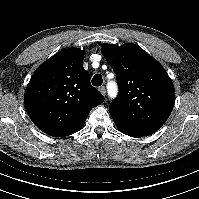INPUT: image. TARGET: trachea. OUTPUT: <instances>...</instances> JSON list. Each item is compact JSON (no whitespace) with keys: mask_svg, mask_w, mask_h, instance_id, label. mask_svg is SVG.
Returning a JSON list of instances; mask_svg holds the SVG:
<instances>
[{"mask_svg":"<svg viewBox=\"0 0 199 199\" xmlns=\"http://www.w3.org/2000/svg\"><path fill=\"white\" fill-rule=\"evenodd\" d=\"M103 83V78L100 74H96L94 75V77L92 78V84L96 87L101 86Z\"/></svg>","mask_w":199,"mask_h":199,"instance_id":"1","label":"trachea"}]
</instances>
